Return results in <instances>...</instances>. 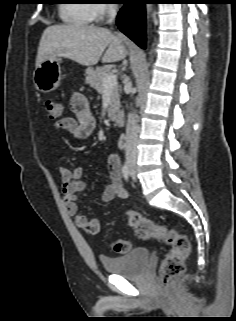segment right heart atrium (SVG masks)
Returning <instances> with one entry per match:
<instances>
[{"mask_svg":"<svg viewBox=\"0 0 236 321\" xmlns=\"http://www.w3.org/2000/svg\"><path fill=\"white\" fill-rule=\"evenodd\" d=\"M97 3L92 4L90 15L91 19L99 21L106 15L114 11V6L109 0H96Z\"/></svg>","mask_w":236,"mask_h":321,"instance_id":"d8ad5b80","label":"right heart atrium"}]
</instances>
